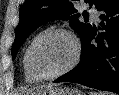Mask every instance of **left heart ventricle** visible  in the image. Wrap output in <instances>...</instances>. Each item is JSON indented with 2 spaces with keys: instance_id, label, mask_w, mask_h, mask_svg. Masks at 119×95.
<instances>
[{
  "instance_id": "1",
  "label": "left heart ventricle",
  "mask_w": 119,
  "mask_h": 95,
  "mask_svg": "<svg viewBox=\"0 0 119 95\" xmlns=\"http://www.w3.org/2000/svg\"><path fill=\"white\" fill-rule=\"evenodd\" d=\"M74 56L72 40L62 34L42 40L34 53L37 68L44 74H53L66 67Z\"/></svg>"
}]
</instances>
